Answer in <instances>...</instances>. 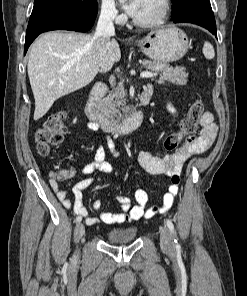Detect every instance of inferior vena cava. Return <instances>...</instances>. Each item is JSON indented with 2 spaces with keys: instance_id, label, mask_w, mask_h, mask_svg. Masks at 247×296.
I'll return each instance as SVG.
<instances>
[{
  "instance_id": "inferior-vena-cava-1",
  "label": "inferior vena cava",
  "mask_w": 247,
  "mask_h": 296,
  "mask_svg": "<svg viewBox=\"0 0 247 296\" xmlns=\"http://www.w3.org/2000/svg\"><path fill=\"white\" fill-rule=\"evenodd\" d=\"M115 16L116 11L113 8H105L101 11L96 27V36L101 37L105 41L110 40V37L115 34L113 25Z\"/></svg>"
}]
</instances>
